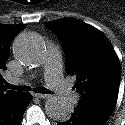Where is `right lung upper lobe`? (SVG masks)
I'll use <instances>...</instances> for the list:
<instances>
[{
    "label": "right lung upper lobe",
    "mask_w": 125,
    "mask_h": 125,
    "mask_svg": "<svg viewBox=\"0 0 125 125\" xmlns=\"http://www.w3.org/2000/svg\"><path fill=\"white\" fill-rule=\"evenodd\" d=\"M27 25H5L0 24V101L17 94L18 92L7 91L6 81L2 77L3 71L6 70V63L10 54L11 41L16 34L21 32Z\"/></svg>",
    "instance_id": "cb5924a9"
}]
</instances>
